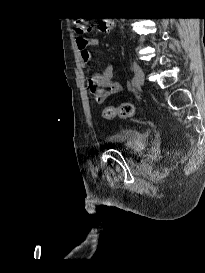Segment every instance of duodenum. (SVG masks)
<instances>
[{"label":"duodenum","instance_id":"1","mask_svg":"<svg viewBox=\"0 0 205 273\" xmlns=\"http://www.w3.org/2000/svg\"><path fill=\"white\" fill-rule=\"evenodd\" d=\"M111 26H112L111 19H106L103 22H101L100 30L103 31V32H108V31H110Z\"/></svg>","mask_w":205,"mask_h":273}]
</instances>
